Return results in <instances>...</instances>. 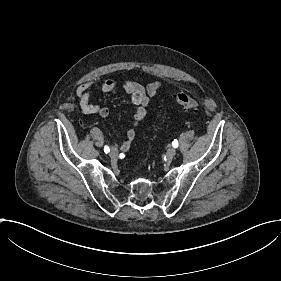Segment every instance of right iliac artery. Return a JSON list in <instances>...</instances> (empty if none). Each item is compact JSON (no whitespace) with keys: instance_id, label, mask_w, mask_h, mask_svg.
<instances>
[{"instance_id":"82829eb1","label":"right iliac artery","mask_w":281,"mask_h":281,"mask_svg":"<svg viewBox=\"0 0 281 281\" xmlns=\"http://www.w3.org/2000/svg\"><path fill=\"white\" fill-rule=\"evenodd\" d=\"M104 152L107 154L108 152H110V149H109V147L108 146H105L104 147Z\"/></svg>"}]
</instances>
